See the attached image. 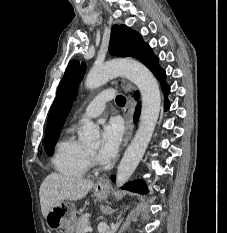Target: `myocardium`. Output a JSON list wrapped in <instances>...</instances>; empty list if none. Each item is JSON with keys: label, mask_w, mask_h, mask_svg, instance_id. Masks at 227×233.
<instances>
[{"label": "myocardium", "mask_w": 227, "mask_h": 233, "mask_svg": "<svg viewBox=\"0 0 227 233\" xmlns=\"http://www.w3.org/2000/svg\"><path fill=\"white\" fill-rule=\"evenodd\" d=\"M86 153H87V156H88L89 163L92 164V165H94V166H98L99 163L96 160L94 154L91 153L90 151H86Z\"/></svg>", "instance_id": "1"}]
</instances>
